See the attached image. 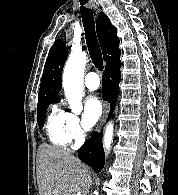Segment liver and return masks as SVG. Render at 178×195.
<instances>
[{"label":"liver","mask_w":178,"mask_h":195,"mask_svg":"<svg viewBox=\"0 0 178 195\" xmlns=\"http://www.w3.org/2000/svg\"><path fill=\"white\" fill-rule=\"evenodd\" d=\"M37 157L39 195H77L90 188V170L71 153L42 144Z\"/></svg>","instance_id":"6515ba94"}]
</instances>
